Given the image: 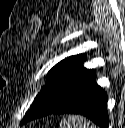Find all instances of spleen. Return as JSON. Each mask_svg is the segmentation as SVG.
I'll list each match as a JSON object with an SVG mask.
<instances>
[{
	"label": "spleen",
	"mask_w": 125,
	"mask_h": 128,
	"mask_svg": "<svg viewBox=\"0 0 125 128\" xmlns=\"http://www.w3.org/2000/svg\"><path fill=\"white\" fill-rule=\"evenodd\" d=\"M60 128H96V126L81 116L69 115L62 120Z\"/></svg>",
	"instance_id": "1"
}]
</instances>
